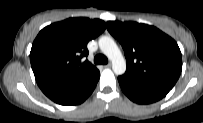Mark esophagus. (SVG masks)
Masks as SVG:
<instances>
[{
  "label": "esophagus",
  "instance_id": "obj_1",
  "mask_svg": "<svg viewBox=\"0 0 203 123\" xmlns=\"http://www.w3.org/2000/svg\"><path fill=\"white\" fill-rule=\"evenodd\" d=\"M104 67L110 68L111 67V63L106 64Z\"/></svg>",
  "mask_w": 203,
  "mask_h": 123
}]
</instances>
